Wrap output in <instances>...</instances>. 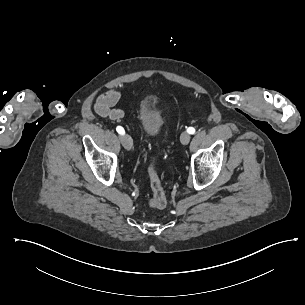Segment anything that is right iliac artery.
<instances>
[{"label": "right iliac artery", "mask_w": 305, "mask_h": 305, "mask_svg": "<svg viewBox=\"0 0 305 305\" xmlns=\"http://www.w3.org/2000/svg\"><path fill=\"white\" fill-rule=\"evenodd\" d=\"M116 130L120 135H123L125 133L123 127H121V126H117Z\"/></svg>", "instance_id": "right-iliac-artery-1"}]
</instances>
